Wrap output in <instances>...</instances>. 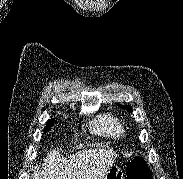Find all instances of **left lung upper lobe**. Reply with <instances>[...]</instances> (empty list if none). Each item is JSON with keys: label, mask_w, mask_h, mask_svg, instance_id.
<instances>
[{"label": "left lung upper lobe", "mask_w": 183, "mask_h": 179, "mask_svg": "<svg viewBox=\"0 0 183 179\" xmlns=\"http://www.w3.org/2000/svg\"><path fill=\"white\" fill-rule=\"evenodd\" d=\"M121 107L124 108V109H127V111L132 112V107L131 106H121Z\"/></svg>", "instance_id": "1"}]
</instances>
